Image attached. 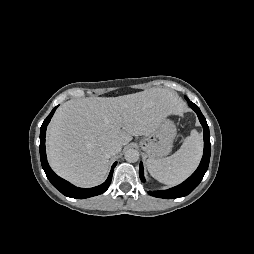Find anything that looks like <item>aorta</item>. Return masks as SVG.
I'll use <instances>...</instances> for the list:
<instances>
[{
  "mask_svg": "<svg viewBox=\"0 0 254 254\" xmlns=\"http://www.w3.org/2000/svg\"><path fill=\"white\" fill-rule=\"evenodd\" d=\"M139 156L140 154L136 149H128L124 155L126 161L130 163L137 162L139 160Z\"/></svg>",
  "mask_w": 254,
  "mask_h": 254,
  "instance_id": "762f6f07",
  "label": "aorta"
}]
</instances>
